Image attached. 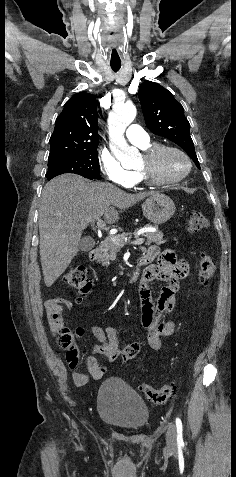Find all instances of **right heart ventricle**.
<instances>
[{"label": "right heart ventricle", "instance_id": "obj_1", "mask_svg": "<svg viewBox=\"0 0 236 477\" xmlns=\"http://www.w3.org/2000/svg\"><path fill=\"white\" fill-rule=\"evenodd\" d=\"M151 144H147L145 146H141L140 148L144 151L148 150L149 148H151ZM131 175H132V181H133V184H138L140 182H142V178L141 176L139 175V173L137 172V170L135 171H131Z\"/></svg>", "mask_w": 236, "mask_h": 477}]
</instances>
